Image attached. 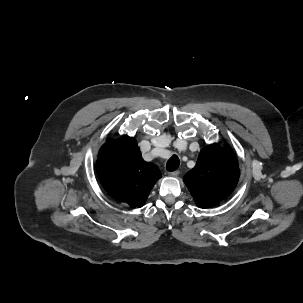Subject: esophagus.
Segmentation results:
<instances>
[{
	"label": "esophagus",
	"mask_w": 303,
	"mask_h": 303,
	"mask_svg": "<svg viewBox=\"0 0 303 303\" xmlns=\"http://www.w3.org/2000/svg\"><path fill=\"white\" fill-rule=\"evenodd\" d=\"M179 174H180V171H178V170L170 172V175L174 176V177L178 176Z\"/></svg>",
	"instance_id": "1"
}]
</instances>
